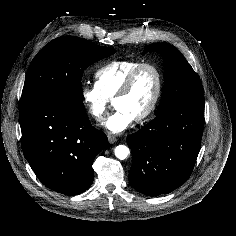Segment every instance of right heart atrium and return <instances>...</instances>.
<instances>
[{
	"mask_svg": "<svg viewBox=\"0 0 236 236\" xmlns=\"http://www.w3.org/2000/svg\"><path fill=\"white\" fill-rule=\"evenodd\" d=\"M81 100L90 116L97 121L104 120L110 100L103 95L96 83L85 84L81 88Z\"/></svg>",
	"mask_w": 236,
	"mask_h": 236,
	"instance_id": "obj_1",
	"label": "right heart atrium"
}]
</instances>
